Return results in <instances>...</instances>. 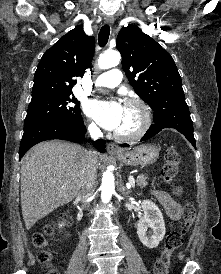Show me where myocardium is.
<instances>
[{"mask_svg":"<svg viewBox=\"0 0 221 274\" xmlns=\"http://www.w3.org/2000/svg\"><path fill=\"white\" fill-rule=\"evenodd\" d=\"M125 106H135L141 114V123L139 127L128 133L115 131L114 136L122 141H135L140 139L150 128L152 123V115L149 106L140 98H128L124 102Z\"/></svg>","mask_w":221,"mask_h":274,"instance_id":"obj_1","label":"myocardium"}]
</instances>
